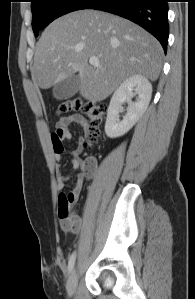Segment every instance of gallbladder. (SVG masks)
Wrapping results in <instances>:
<instances>
[{"label":"gallbladder","mask_w":195,"mask_h":299,"mask_svg":"<svg viewBox=\"0 0 195 299\" xmlns=\"http://www.w3.org/2000/svg\"><path fill=\"white\" fill-rule=\"evenodd\" d=\"M79 87V77L73 74L53 87V96L58 100L68 99L78 92Z\"/></svg>","instance_id":"gallbladder-1"}]
</instances>
